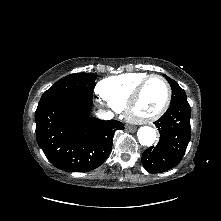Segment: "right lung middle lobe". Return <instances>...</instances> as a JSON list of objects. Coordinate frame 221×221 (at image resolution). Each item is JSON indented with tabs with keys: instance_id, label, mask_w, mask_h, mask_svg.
Instances as JSON below:
<instances>
[{
	"instance_id": "dd1d6c3e",
	"label": "right lung middle lobe",
	"mask_w": 221,
	"mask_h": 221,
	"mask_svg": "<svg viewBox=\"0 0 221 221\" xmlns=\"http://www.w3.org/2000/svg\"><path fill=\"white\" fill-rule=\"evenodd\" d=\"M96 74L76 73L68 75L53 84L42 95L38 106L62 97H79L92 100Z\"/></svg>"
}]
</instances>
